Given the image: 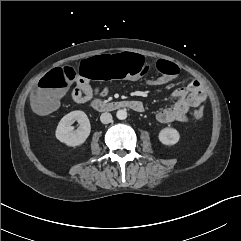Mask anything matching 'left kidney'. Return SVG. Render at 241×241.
Instances as JSON below:
<instances>
[{
	"instance_id": "left-kidney-1",
	"label": "left kidney",
	"mask_w": 241,
	"mask_h": 241,
	"mask_svg": "<svg viewBox=\"0 0 241 241\" xmlns=\"http://www.w3.org/2000/svg\"><path fill=\"white\" fill-rule=\"evenodd\" d=\"M159 141L164 145H174L180 139L179 132L174 128H163L158 135Z\"/></svg>"
}]
</instances>
